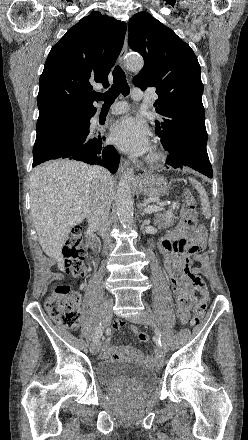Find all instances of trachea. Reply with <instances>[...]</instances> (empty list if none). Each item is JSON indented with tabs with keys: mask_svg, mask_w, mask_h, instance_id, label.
<instances>
[{
	"mask_svg": "<svg viewBox=\"0 0 248 440\" xmlns=\"http://www.w3.org/2000/svg\"><path fill=\"white\" fill-rule=\"evenodd\" d=\"M129 92L130 88L126 80L125 73L121 67L117 65L113 70V85L104 94H97L96 98L104 101L103 107H109L120 93H122L124 96H127Z\"/></svg>",
	"mask_w": 248,
	"mask_h": 440,
	"instance_id": "1",
	"label": "trachea"
}]
</instances>
